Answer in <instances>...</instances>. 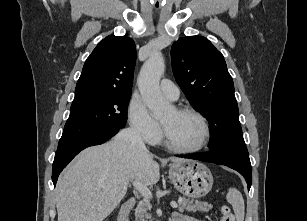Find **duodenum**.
<instances>
[{"instance_id":"duodenum-1","label":"duodenum","mask_w":307,"mask_h":221,"mask_svg":"<svg viewBox=\"0 0 307 221\" xmlns=\"http://www.w3.org/2000/svg\"><path fill=\"white\" fill-rule=\"evenodd\" d=\"M134 204H135V200L129 199L122 205L119 215H118V221H129V215H130V212Z\"/></svg>"}]
</instances>
